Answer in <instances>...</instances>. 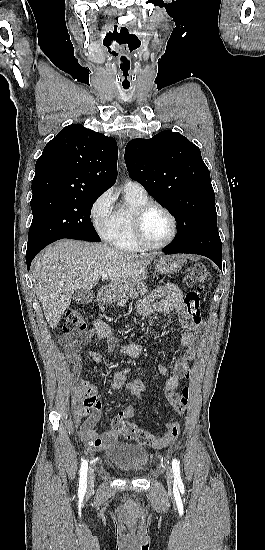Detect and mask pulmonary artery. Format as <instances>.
Masks as SVG:
<instances>
[{"label":"pulmonary artery","mask_w":265,"mask_h":550,"mask_svg":"<svg viewBox=\"0 0 265 550\" xmlns=\"http://www.w3.org/2000/svg\"><path fill=\"white\" fill-rule=\"evenodd\" d=\"M124 189L146 194V191H145L144 187L141 184H139L138 182H135V181H132V180H127L125 182Z\"/></svg>","instance_id":"pulmonary-artery-1"}]
</instances>
